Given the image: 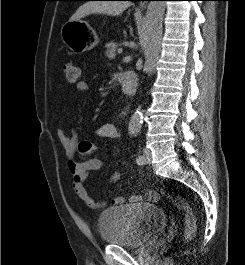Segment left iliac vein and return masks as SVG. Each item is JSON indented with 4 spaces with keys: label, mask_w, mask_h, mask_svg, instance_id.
Segmentation results:
<instances>
[{
    "label": "left iliac vein",
    "mask_w": 245,
    "mask_h": 265,
    "mask_svg": "<svg viewBox=\"0 0 245 265\" xmlns=\"http://www.w3.org/2000/svg\"><path fill=\"white\" fill-rule=\"evenodd\" d=\"M151 151L148 148L143 150V164H149L151 162Z\"/></svg>",
    "instance_id": "obj_1"
}]
</instances>
